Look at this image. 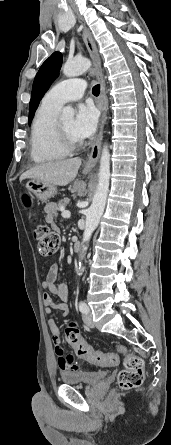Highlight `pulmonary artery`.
Listing matches in <instances>:
<instances>
[{"label": "pulmonary artery", "instance_id": "obj_1", "mask_svg": "<svg viewBox=\"0 0 171 445\" xmlns=\"http://www.w3.org/2000/svg\"><path fill=\"white\" fill-rule=\"evenodd\" d=\"M85 88L82 79H67L53 86L44 96L43 102L60 108L67 102L79 100Z\"/></svg>", "mask_w": 171, "mask_h": 445}]
</instances>
